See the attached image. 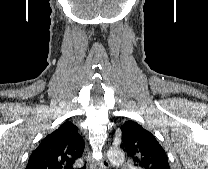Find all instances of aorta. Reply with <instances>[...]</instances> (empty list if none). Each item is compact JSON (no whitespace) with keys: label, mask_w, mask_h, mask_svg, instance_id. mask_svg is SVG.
I'll list each match as a JSON object with an SVG mask.
<instances>
[{"label":"aorta","mask_w":208,"mask_h":169,"mask_svg":"<svg viewBox=\"0 0 208 169\" xmlns=\"http://www.w3.org/2000/svg\"><path fill=\"white\" fill-rule=\"evenodd\" d=\"M108 157L111 163L118 165L124 160V153L118 148H112L108 152Z\"/></svg>","instance_id":"762f6f07"}]
</instances>
